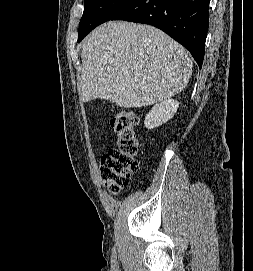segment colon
I'll use <instances>...</instances> for the list:
<instances>
[{"label":"colon","mask_w":253,"mask_h":271,"mask_svg":"<svg viewBox=\"0 0 253 271\" xmlns=\"http://www.w3.org/2000/svg\"><path fill=\"white\" fill-rule=\"evenodd\" d=\"M116 146L101 158V177L114 193L125 188L139 167L140 146L135 130L137 117L130 111H120L111 119Z\"/></svg>","instance_id":"5ec220e1"}]
</instances>
